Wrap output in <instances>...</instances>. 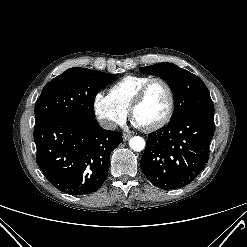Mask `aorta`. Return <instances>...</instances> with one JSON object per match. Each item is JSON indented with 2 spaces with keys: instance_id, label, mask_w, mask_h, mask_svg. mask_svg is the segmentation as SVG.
Masks as SVG:
<instances>
[{
  "instance_id": "762f6f07",
  "label": "aorta",
  "mask_w": 247,
  "mask_h": 247,
  "mask_svg": "<svg viewBox=\"0 0 247 247\" xmlns=\"http://www.w3.org/2000/svg\"><path fill=\"white\" fill-rule=\"evenodd\" d=\"M129 146L133 151L140 152L145 148V140L140 136H134L130 139Z\"/></svg>"
}]
</instances>
